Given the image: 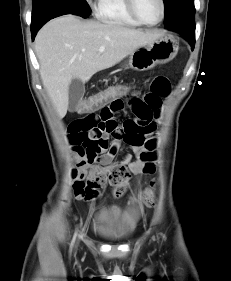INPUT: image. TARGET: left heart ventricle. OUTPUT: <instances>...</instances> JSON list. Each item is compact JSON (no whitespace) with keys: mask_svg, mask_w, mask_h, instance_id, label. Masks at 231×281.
<instances>
[{"mask_svg":"<svg viewBox=\"0 0 231 281\" xmlns=\"http://www.w3.org/2000/svg\"><path fill=\"white\" fill-rule=\"evenodd\" d=\"M136 7L140 16L149 23H154L160 19V0H136Z\"/></svg>","mask_w":231,"mask_h":281,"instance_id":"b2bd125f","label":"left heart ventricle"}]
</instances>
